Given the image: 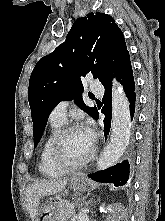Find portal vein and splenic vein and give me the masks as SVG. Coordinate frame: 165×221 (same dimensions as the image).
<instances>
[{"label": "portal vein and splenic vein", "mask_w": 165, "mask_h": 221, "mask_svg": "<svg viewBox=\"0 0 165 221\" xmlns=\"http://www.w3.org/2000/svg\"><path fill=\"white\" fill-rule=\"evenodd\" d=\"M67 206L70 207L71 209H74V205L71 203H68Z\"/></svg>", "instance_id": "1"}]
</instances>
